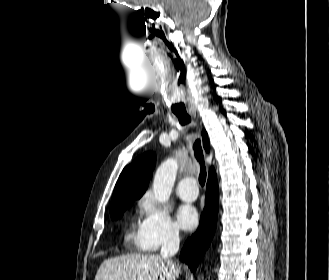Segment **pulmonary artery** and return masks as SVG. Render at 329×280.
<instances>
[{
  "label": "pulmonary artery",
  "mask_w": 329,
  "mask_h": 280,
  "mask_svg": "<svg viewBox=\"0 0 329 280\" xmlns=\"http://www.w3.org/2000/svg\"><path fill=\"white\" fill-rule=\"evenodd\" d=\"M177 194L182 200L194 201L198 195L196 180L193 177L181 179L177 185Z\"/></svg>",
  "instance_id": "pulmonary-artery-1"
}]
</instances>
